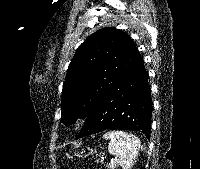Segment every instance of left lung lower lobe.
Wrapping results in <instances>:
<instances>
[{
	"instance_id": "1",
	"label": "left lung lower lobe",
	"mask_w": 200,
	"mask_h": 169,
	"mask_svg": "<svg viewBox=\"0 0 200 169\" xmlns=\"http://www.w3.org/2000/svg\"><path fill=\"white\" fill-rule=\"evenodd\" d=\"M152 100L144 61L92 109L76 139L107 129L151 133Z\"/></svg>"
}]
</instances>
